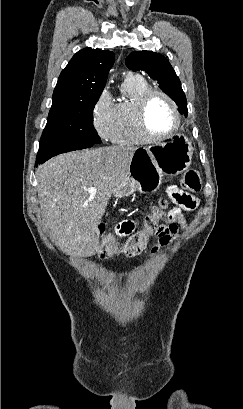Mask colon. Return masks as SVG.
I'll return each mask as SVG.
<instances>
[{"label":"colon","instance_id":"obj_1","mask_svg":"<svg viewBox=\"0 0 243 409\" xmlns=\"http://www.w3.org/2000/svg\"><path fill=\"white\" fill-rule=\"evenodd\" d=\"M181 185L189 192H199L203 185L200 173L195 169L186 171L182 177ZM178 201L185 203V200L180 197ZM168 207L169 201L167 199L159 200L144 216L143 228L120 246L116 245L113 236L104 237L98 251L99 257L106 258L117 251L131 255L140 253L146 247L150 236L162 237L167 232V228L161 223V220L164 219ZM100 230L102 232V227Z\"/></svg>","mask_w":243,"mask_h":409}]
</instances>
